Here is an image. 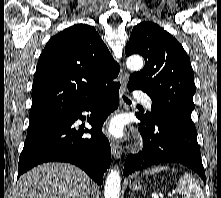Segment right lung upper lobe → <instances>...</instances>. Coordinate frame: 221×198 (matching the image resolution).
I'll return each instance as SVG.
<instances>
[{
    "label": "right lung upper lobe",
    "instance_id": "1",
    "mask_svg": "<svg viewBox=\"0 0 221 198\" xmlns=\"http://www.w3.org/2000/svg\"><path fill=\"white\" fill-rule=\"evenodd\" d=\"M119 71L94 27L78 24L58 33L37 64L30 123L77 110L116 84Z\"/></svg>",
    "mask_w": 221,
    "mask_h": 198
}]
</instances>
